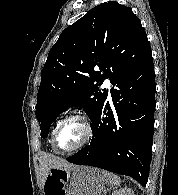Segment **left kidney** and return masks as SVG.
<instances>
[{
  "mask_svg": "<svg viewBox=\"0 0 178 195\" xmlns=\"http://www.w3.org/2000/svg\"><path fill=\"white\" fill-rule=\"evenodd\" d=\"M112 195H134V193L130 188H120L115 190Z\"/></svg>",
  "mask_w": 178,
  "mask_h": 195,
  "instance_id": "left-kidney-1",
  "label": "left kidney"
}]
</instances>
